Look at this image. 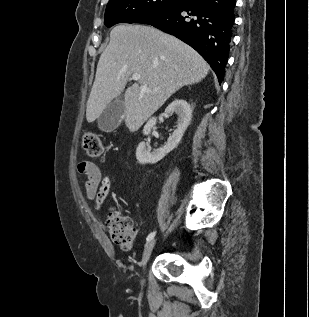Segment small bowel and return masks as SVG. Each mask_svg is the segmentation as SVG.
Returning <instances> with one entry per match:
<instances>
[{
    "label": "small bowel",
    "instance_id": "1",
    "mask_svg": "<svg viewBox=\"0 0 309 317\" xmlns=\"http://www.w3.org/2000/svg\"><path fill=\"white\" fill-rule=\"evenodd\" d=\"M77 170L86 176L84 185L86 198L94 201L95 208L100 209L111 189L110 178L102 176L100 169L89 161L79 162Z\"/></svg>",
    "mask_w": 309,
    "mask_h": 317
}]
</instances>
